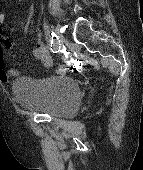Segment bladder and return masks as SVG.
I'll list each match as a JSON object with an SVG mask.
<instances>
[{"label": "bladder", "instance_id": "31cf9c89", "mask_svg": "<svg viewBox=\"0 0 143 170\" xmlns=\"http://www.w3.org/2000/svg\"><path fill=\"white\" fill-rule=\"evenodd\" d=\"M12 90L21 107L52 117H73L81 104V90L67 75L21 76L13 81Z\"/></svg>", "mask_w": 143, "mask_h": 170}]
</instances>
